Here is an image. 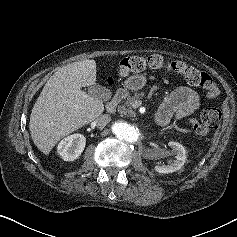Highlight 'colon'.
<instances>
[{"instance_id": "colon-1", "label": "colon", "mask_w": 237, "mask_h": 237, "mask_svg": "<svg viewBox=\"0 0 237 237\" xmlns=\"http://www.w3.org/2000/svg\"><path fill=\"white\" fill-rule=\"evenodd\" d=\"M147 67L156 70H164L170 74L183 76L190 84L199 86L205 90V97L213 99L219 94V89L210 75L188 65L181 60H166L160 55L148 57L129 56L123 58L119 63L118 73L126 76L129 73H138ZM112 84V78H108ZM221 113L216 108H206L202 111L200 119L190 117L187 120L191 129L199 136H206L219 127Z\"/></svg>"}]
</instances>
